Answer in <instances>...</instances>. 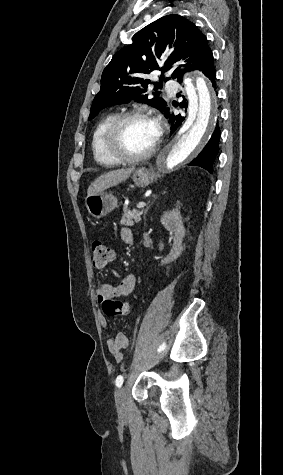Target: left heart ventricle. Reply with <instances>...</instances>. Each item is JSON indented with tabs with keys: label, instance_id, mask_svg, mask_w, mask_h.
Segmentation results:
<instances>
[{
	"label": "left heart ventricle",
	"instance_id": "b2bd125f",
	"mask_svg": "<svg viewBox=\"0 0 283 475\" xmlns=\"http://www.w3.org/2000/svg\"><path fill=\"white\" fill-rule=\"evenodd\" d=\"M157 136L153 118L130 119L122 125L117 141L110 146L107 153L111 157L141 156L151 149Z\"/></svg>",
	"mask_w": 283,
	"mask_h": 475
}]
</instances>
